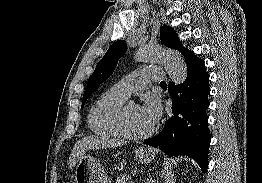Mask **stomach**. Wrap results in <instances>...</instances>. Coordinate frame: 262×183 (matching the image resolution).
Masks as SVG:
<instances>
[{"instance_id":"obj_1","label":"stomach","mask_w":262,"mask_h":183,"mask_svg":"<svg viewBox=\"0 0 262 183\" xmlns=\"http://www.w3.org/2000/svg\"><path fill=\"white\" fill-rule=\"evenodd\" d=\"M155 157L153 149L140 147L135 151L138 162L148 164ZM75 183H111L100 163L92 156L85 155L76 165Z\"/></svg>"}]
</instances>
